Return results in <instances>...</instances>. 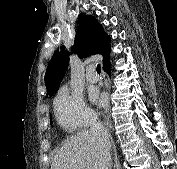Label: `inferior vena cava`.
Segmentation results:
<instances>
[{"label": "inferior vena cava", "instance_id": "602c4592", "mask_svg": "<svg viewBox=\"0 0 177 169\" xmlns=\"http://www.w3.org/2000/svg\"><path fill=\"white\" fill-rule=\"evenodd\" d=\"M90 132L98 139L102 149V165L101 169H111V155H110V138L108 131L97 117L91 121Z\"/></svg>", "mask_w": 177, "mask_h": 169}]
</instances>
